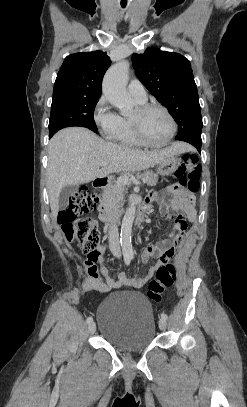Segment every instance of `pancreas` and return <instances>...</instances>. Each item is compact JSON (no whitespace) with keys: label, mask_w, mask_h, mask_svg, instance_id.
Listing matches in <instances>:
<instances>
[{"label":"pancreas","mask_w":247,"mask_h":407,"mask_svg":"<svg viewBox=\"0 0 247 407\" xmlns=\"http://www.w3.org/2000/svg\"><path fill=\"white\" fill-rule=\"evenodd\" d=\"M142 179H146V184L148 186H155L158 182V175L154 172H144L140 175ZM126 192L125 184L116 181L113 185L108 187L102 194L103 202H109L114 205H119L124 198V193Z\"/></svg>","instance_id":"obj_1"}]
</instances>
